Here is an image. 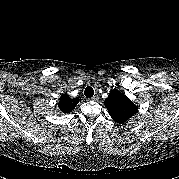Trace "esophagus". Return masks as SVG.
Wrapping results in <instances>:
<instances>
[{"label": "esophagus", "instance_id": "34e87169", "mask_svg": "<svg viewBox=\"0 0 179 179\" xmlns=\"http://www.w3.org/2000/svg\"><path fill=\"white\" fill-rule=\"evenodd\" d=\"M99 99V96L98 95H94L93 97H92V100L93 101H96V100H98Z\"/></svg>", "mask_w": 179, "mask_h": 179}]
</instances>
